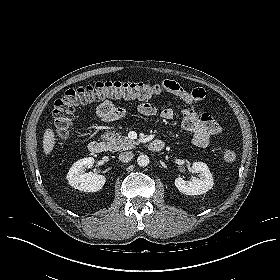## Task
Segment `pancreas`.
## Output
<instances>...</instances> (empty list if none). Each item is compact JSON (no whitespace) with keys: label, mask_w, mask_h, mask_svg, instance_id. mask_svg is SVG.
<instances>
[{"label":"pancreas","mask_w":280,"mask_h":280,"mask_svg":"<svg viewBox=\"0 0 280 280\" xmlns=\"http://www.w3.org/2000/svg\"><path fill=\"white\" fill-rule=\"evenodd\" d=\"M102 138L107 141V148L109 151H120L133 149L137 144L136 141L130 140L127 137L121 138L119 134L111 132L102 135Z\"/></svg>","instance_id":"cf45deb5"}]
</instances>
